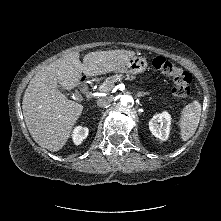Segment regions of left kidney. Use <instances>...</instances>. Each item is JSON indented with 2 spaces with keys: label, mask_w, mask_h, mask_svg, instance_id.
<instances>
[{
  "label": "left kidney",
  "mask_w": 221,
  "mask_h": 221,
  "mask_svg": "<svg viewBox=\"0 0 221 221\" xmlns=\"http://www.w3.org/2000/svg\"><path fill=\"white\" fill-rule=\"evenodd\" d=\"M171 125V116L164 111L154 115L149 121V129L151 133L161 141H165L169 137Z\"/></svg>",
  "instance_id": "5707ae66"
}]
</instances>
